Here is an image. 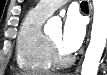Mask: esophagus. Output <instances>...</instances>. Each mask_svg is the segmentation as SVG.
Here are the masks:
<instances>
[{"label": "esophagus", "instance_id": "obj_1", "mask_svg": "<svg viewBox=\"0 0 107 75\" xmlns=\"http://www.w3.org/2000/svg\"><path fill=\"white\" fill-rule=\"evenodd\" d=\"M80 66H77L76 70H75V74H77L79 72Z\"/></svg>", "mask_w": 107, "mask_h": 75}]
</instances>
